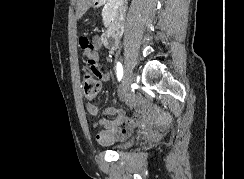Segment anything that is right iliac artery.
Segmentation results:
<instances>
[{
  "label": "right iliac artery",
  "mask_w": 244,
  "mask_h": 179,
  "mask_svg": "<svg viewBox=\"0 0 244 179\" xmlns=\"http://www.w3.org/2000/svg\"><path fill=\"white\" fill-rule=\"evenodd\" d=\"M117 77H118V80L120 81L123 77V67H122V64L120 62H117Z\"/></svg>",
  "instance_id": "obj_1"
}]
</instances>
